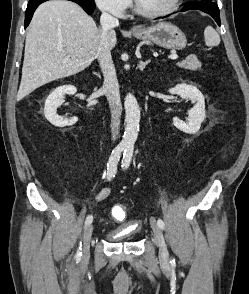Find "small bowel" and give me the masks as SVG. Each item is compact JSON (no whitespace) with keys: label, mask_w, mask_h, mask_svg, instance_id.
<instances>
[{"label":"small bowel","mask_w":249,"mask_h":294,"mask_svg":"<svg viewBox=\"0 0 249 294\" xmlns=\"http://www.w3.org/2000/svg\"><path fill=\"white\" fill-rule=\"evenodd\" d=\"M112 191L113 189L111 187H104L102 188L95 196H94V202L95 203H101L103 202L104 200H106L111 194H112ZM114 210H115V207L112 209V216L117 219L115 216H114ZM117 220H120V219H117Z\"/></svg>","instance_id":"c3829d8e"}]
</instances>
